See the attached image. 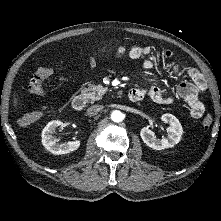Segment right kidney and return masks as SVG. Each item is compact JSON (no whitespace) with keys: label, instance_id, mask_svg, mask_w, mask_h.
Here are the masks:
<instances>
[{"label":"right kidney","instance_id":"ca27d5eb","mask_svg":"<svg viewBox=\"0 0 221 221\" xmlns=\"http://www.w3.org/2000/svg\"><path fill=\"white\" fill-rule=\"evenodd\" d=\"M65 124L62 121L55 120L49 122L42 131V144L52 154H68L75 151L80 146V141H68L66 143H57V139L53 136V132L57 127L63 128Z\"/></svg>","mask_w":221,"mask_h":221}]
</instances>
